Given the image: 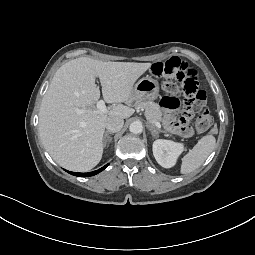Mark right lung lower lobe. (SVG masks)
<instances>
[{
    "label": "right lung lower lobe",
    "instance_id": "98d812e1",
    "mask_svg": "<svg viewBox=\"0 0 255 255\" xmlns=\"http://www.w3.org/2000/svg\"><path fill=\"white\" fill-rule=\"evenodd\" d=\"M108 165L109 164L103 166L102 168H100L96 171L88 172V173H76V172H70V171H67V172L74 175V176H78V177H88V176H93V175L98 174L99 172L103 171Z\"/></svg>",
    "mask_w": 255,
    "mask_h": 255
}]
</instances>
